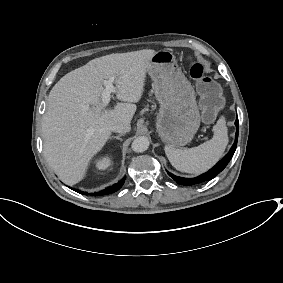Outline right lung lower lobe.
Masks as SVG:
<instances>
[{
	"instance_id": "obj_1",
	"label": "right lung lower lobe",
	"mask_w": 283,
	"mask_h": 283,
	"mask_svg": "<svg viewBox=\"0 0 283 283\" xmlns=\"http://www.w3.org/2000/svg\"><path fill=\"white\" fill-rule=\"evenodd\" d=\"M124 182H125V178L120 180L118 183H116V184H114L110 187H107L106 189H104L102 191H99L97 193L92 194V196L106 195V194H111L113 192H116L117 190H119L123 186ZM73 190L80 193V194L88 195L87 192H83V191H80L78 189H73Z\"/></svg>"
}]
</instances>
